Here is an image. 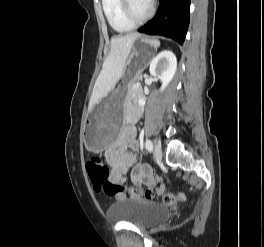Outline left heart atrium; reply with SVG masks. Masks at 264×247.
Returning <instances> with one entry per match:
<instances>
[{"mask_svg":"<svg viewBox=\"0 0 264 247\" xmlns=\"http://www.w3.org/2000/svg\"><path fill=\"white\" fill-rule=\"evenodd\" d=\"M147 3H150L152 0H145Z\"/></svg>","mask_w":264,"mask_h":247,"instance_id":"obj_1","label":"left heart atrium"}]
</instances>
